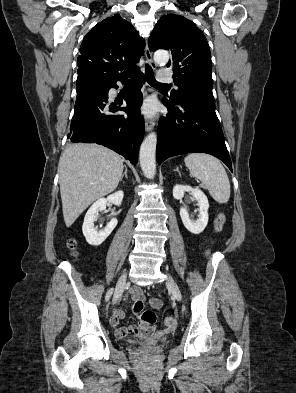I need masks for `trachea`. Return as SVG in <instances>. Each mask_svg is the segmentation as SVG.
I'll return each instance as SVG.
<instances>
[{
	"label": "trachea",
	"instance_id": "1",
	"mask_svg": "<svg viewBox=\"0 0 296 393\" xmlns=\"http://www.w3.org/2000/svg\"><path fill=\"white\" fill-rule=\"evenodd\" d=\"M145 75H146V79L147 82L153 86V87H169V85L167 84H162V83H158L154 77V73L152 70V67L148 64L145 65ZM129 83H133L132 81H130Z\"/></svg>",
	"mask_w": 296,
	"mask_h": 393
}]
</instances>
